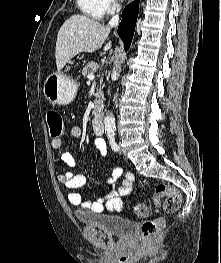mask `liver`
I'll return each mask as SVG.
<instances>
[{
	"instance_id": "6515ba94",
	"label": "liver",
	"mask_w": 221,
	"mask_h": 263,
	"mask_svg": "<svg viewBox=\"0 0 221 263\" xmlns=\"http://www.w3.org/2000/svg\"><path fill=\"white\" fill-rule=\"evenodd\" d=\"M110 26L84 15H72L61 26L56 41L55 57L58 70L81 52L92 53L101 48L110 33ZM109 41L104 51L111 48Z\"/></svg>"
}]
</instances>
